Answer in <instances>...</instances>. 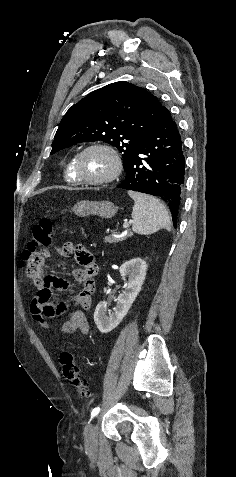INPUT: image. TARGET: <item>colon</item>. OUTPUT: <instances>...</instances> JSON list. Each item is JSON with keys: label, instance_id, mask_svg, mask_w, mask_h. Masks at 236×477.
<instances>
[{"label": "colon", "instance_id": "1", "mask_svg": "<svg viewBox=\"0 0 236 477\" xmlns=\"http://www.w3.org/2000/svg\"><path fill=\"white\" fill-rule=\"evenodd\" d=\"M54 236L53 223L48 218L41 219L32 228L31 239L28 241L23 258L27 264L29 278L37 285L42 279V265L47 255L46 248L51 244ZM59 362L66 380L71 384L81 398H90L91 392L81 368L73 353L63 351Z\"/></svg>", "mask_w": 236, "mask_h": 477}]
</instances>
